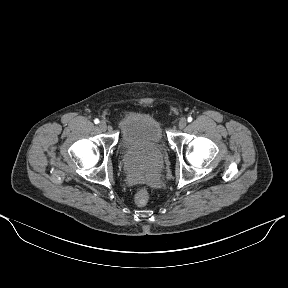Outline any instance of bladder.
<instances>
[{
  "mask_svg": "<svg viewBox=\"0 0 288 288\" xmlns=\"http://www.w3.org/2000/svg\"><path fill=\"white\" fill-rule=\"evenodd\" d=\"M120 146L124 153L136 155L142 164L151 165L163 154L162 128L148 114L132 115L120 127Z\"/></svg>",
  "mask_w": 288,
  "mask_h": 288,
  "instance_id": "obj_1",
  "label": "bladder"
}]
</instances>
